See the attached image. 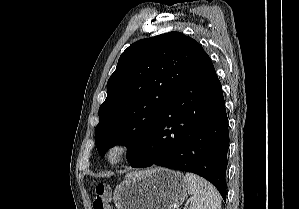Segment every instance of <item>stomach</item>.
<instances>
[{
  "label": "stomach",
  "mask_w": 299,
  "mask_h": 209,
  "mask_svg": "<svg viewBox=\"0 0 299 209\" xmlns=\"http://www.w3.org/2000/svg\"><path fill=\"white\" fill-rule=\"evenodd\" d=\"M187 190L181 172L155 167L128 174L116 187L113 200L117 209H178Z\"/></svg>",
  "instance_id": "0dacf381"
}]
</instances>
